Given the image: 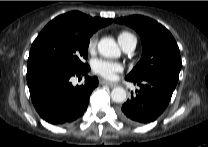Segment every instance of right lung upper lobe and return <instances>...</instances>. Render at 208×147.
I'll return each instance as SVG.
<instances>
[{"label": "right lung upper lobe", "mask_w": 208, "mask_h": 147, "mask_svg": "<svg viewBox=\"0 0 208 147\" xmlns=\"http://www.w3.org/2000/svg\"><path fill=\"white\" fill-rule=\"evenodd\" d=\"M111 22L112 19L109 18H92L78 11H71L50 21L44 29L51 27H70L92 35L99 28Z\"/></svg>", "instance_id": "obj_1"}]
</instances>
